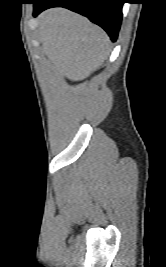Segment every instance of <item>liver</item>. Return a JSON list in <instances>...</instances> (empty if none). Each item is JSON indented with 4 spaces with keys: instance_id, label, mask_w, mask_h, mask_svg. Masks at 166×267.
Masks as SVG:
<instances>
[{
    "instance_id": "liver-1",
    "label": "liver",
    "mask_w": 166,
    "mask_h": 267,
    "mask_svg": "<svg viewBox=\"0 0 166 267\" xmlns=\"http://www.w3.org/2000/svg\"><path fill=\"white\" fill-rule=\"evenodd\" d=\"M40 40L55 70L72 81L87 78L110 53L108 35L87 18L62 8L39 18Z\"/></svg>"
}]
</instances>
